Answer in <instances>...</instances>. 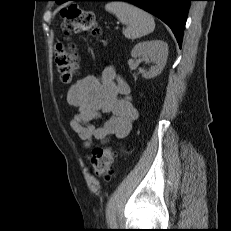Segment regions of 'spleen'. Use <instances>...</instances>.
Masks as SVG:
<instances>
[{
    "instance_id": "1",
    "label": "spleen",
    "mask_w": 231,
    "mask_h": 231,
    "mask_svg": "<svg viewBox=\"0 0 231 231\" xmlns=\"http://www.w3.org/2000/svg\"><path fill=\"white\" fill-rule=\"evenodd\" d=\"M106 11L114 14L117 19L127 26L123 34L128 39L141 38L155 29L152 15L126 2H109L105 5Z\"/></svg>"
}]
</instances>
